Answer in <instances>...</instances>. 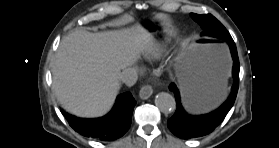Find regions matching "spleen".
<instances>
[{"instance_id":"1","label":"spleen","mask_w":279,"mask_h":148,"mask_svg":"<svg viewBox=\"0 0 279 148\" xmlns=\"http://www.w3.org/2000/svg\"><path fill=\"white\" fill-rule=\"evenodd\" d=\"M221 94L225 95L226 94V81L224 82V84L221 86Z\"/></svg>"}]
</instances>
